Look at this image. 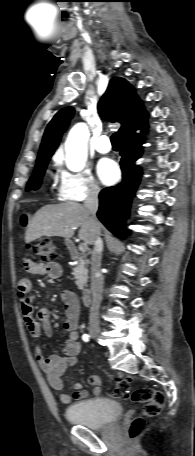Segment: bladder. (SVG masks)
Returning a JSON list of instances; mask_svg holds the SVG:
<instances>
[{"label": "bladder", "mask_w": 195, "mask_h": 456, "mask_svg": "<svg viewBox=\"0 0 195 456\" xmlns=\"http://www.w3.org/2000/svg\"><path fill=\"white\" fill-rule=\"evenodd\" d=\"M122 413L123 409L119 402L108 398H95L68 406L65 417L73 424L103 429L116 423Z\"/></svg>", "instance_id": "1"}]
</instances>
